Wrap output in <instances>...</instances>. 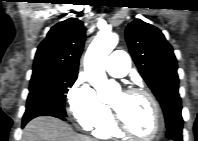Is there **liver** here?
I'll list each match as a JSON object with an SVG mask.
<instances>
[{
    "label": "liver",
    "instance_id": "obj_1",
    "mask_svg": "<svg viewBox=\"0 0 198 141\" xmlns=\"http://www.w3.org/2000/svg\"><path fill=\"white\" fill-rule=\"evenodd\" d=\"M23 141H92L73 131L66 122L48 116L30 121L24 128Z\"/></svg>",
    "mask_w": 198,
    "mask_h": 141
}]
</instances>
